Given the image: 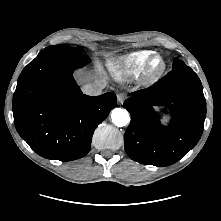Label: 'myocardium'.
I'll list each match as a JSON object with an SVG mask.
<instances>
[{"mask_svg":"<svg viewBox=\"0 0 221 221\" xmlns=\"http://www.w3.org/2000/svg\"><path fill=\"white\" fill-rule=\"evenodd\" d=\"M165 69V59L160 54H152L144 66V78L147 82L152 83L163 75Z\"/></svg>","mask_w":221,"mask_h":221,"instance_id":"f54148a6","label":"myocardium"}]
</instances>
